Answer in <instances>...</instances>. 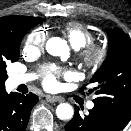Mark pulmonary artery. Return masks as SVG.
I'll return each mask as SVG.
<instances>
[{
	"instance_id": "pulmonary-artery-1",
	"label": "pulmonary artery",
	"mask_w": 131,
	"mask_h": 131,
	"mask_svg": "<svg viewBox=\"0 0 131 131\" xmlns=\"http://www.w3.org/2000/svg\"><path fill=\"white\" fill-rule=\"evenodd\" d=\"M31 79H32V76L29 75V74L15 75V76H13L12 81H13L14 85H19V84L26 83V82L30 81ZM86 106H87L88 109H92L94 107V103L92 101H89L86 104Z\"/></svg>"
}]
</instances>
